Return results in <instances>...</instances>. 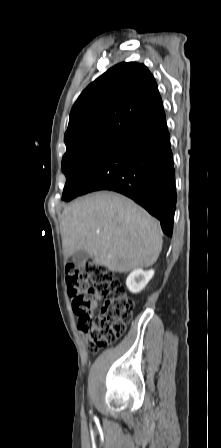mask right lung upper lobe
I'll use <instances>...</instances> for the list:
<instances>
[{"instance_id":"obj_1","label":"right lung upper lobe","mask_w":221,"mask_h":448,"mask_svg":"<svg viewBox=\"0 0 221 448\" xmlns=\"http://www.w3.org/2000/svg\"><path fill=\"white\" fill-rule=\"evenodd\" d=\"M163 108L156 81L140 63H120L92 82L72 107L66 152L89 142L118 139Z\"/></svg>"}]
</instances>
